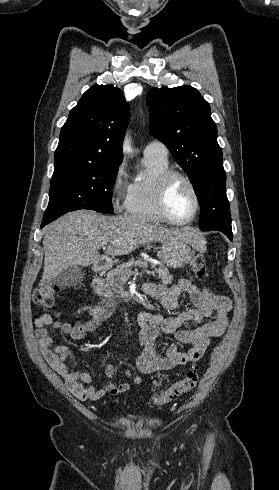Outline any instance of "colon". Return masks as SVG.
<instances>
[{
    "label": "colon",
    "instance_id": "colon-1",
    "mask_svg": "<svg viewBox=\"0 0 279 490\" xmlns=\"http://www.w3.org/2000/svg\"><path fill=\"white\" fill-rule=\"evenodd\" d=\"M191 271L197 278L203 279L207 277V258L204 254L199 253L193 257L191 260ZM58 292V284L47 283L35 293L34 298L44 309L50 310L53 308ZM198 381L199 366L194 365L184 377L173 382L168 388L154 394L152 402L156 406L171 403L195 388Z\"/></svg>",
    "mask_w": 279,
    "mask_h": 490
}]
</instances>
